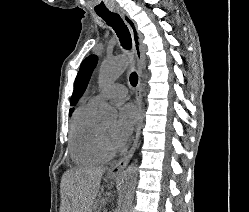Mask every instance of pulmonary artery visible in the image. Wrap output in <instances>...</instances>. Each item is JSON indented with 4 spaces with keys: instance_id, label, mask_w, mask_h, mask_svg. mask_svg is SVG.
<instances>
[{
    "instance_id": "obj_1",
    "label": "pulmonary artery",
    "mask_w": 249,
    "mask_h": 212,
    "mask_svg": "<svg viewBox=\"0 0 249 212\" xmlns=\"http://www.w3.org/2000/svg\"><path fill=\"white\" fill-rule=\"evenodd\" d=\"M127 95V88L120 83H114L110 85L102 95H96L93 96L90 99V102H92L95 105H98L102 98L106 99H121L126 97Z\"/></svg>"
}]
</instances>
